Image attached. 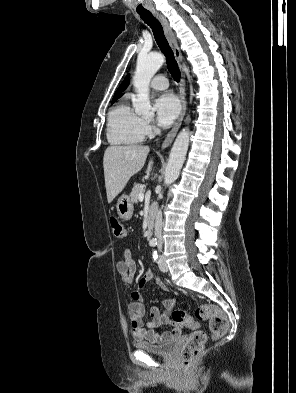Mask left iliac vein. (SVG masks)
Here are the masks:
<instances>
[{"label": "left iliac vein", "instance_id": "1", "mask_svg": "<svg viewBox=\"0 0 296 393\" xmlns=\"http://www.w3.org/2000/svg\"><path fill=\"white\" fill-rule=\"evenodd\" d=\"M158 263H159V268L162 272L168 271V266H167L165 257L163 255L159 256Z\"/></svg>", "mask_w": 296, "mask_h": 393}]
</instances>
